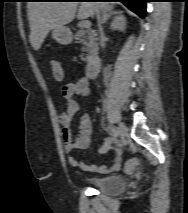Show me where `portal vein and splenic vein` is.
Returning <instances> with one entry per match:
<instances>
[{"label":"portal vein and splenic vein","mask_w":188,"mask_h":213,"mask_svg":"<svg viewBox=\"0 0 188 213\" xmlns=\"http://www.w3.org/2000/svg\"><path fill=\"white\" fill-rule=\"evenodd\" d=\"M82 25H83L84 28L88 29V28H90L91 23L88 20H83Z\"/></svg>","instance_id":"obj_1"}]
</instances>
